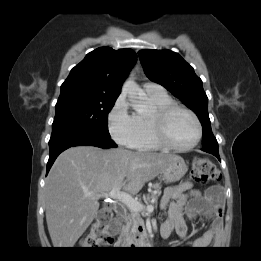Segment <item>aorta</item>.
Instances as JSON below:
<instances>
[{"label": "aorta", "instance_id": "762f6f07", "mask_svg": "<svg viewBox=\"0 0 261 261\" xmlns=\"http://www.w3.org/2000/svg\"><path fill=\"white\" fill-rule=\"evenodd\" d=\"M138 92H139V87L134 81L127 80L123 84L122 93L128 96L132 107L136 111H141L144 108V104L142 101L138 99Z\"/></svg>", "mask_w": 261, "mask_h": 261}]
</instances>
